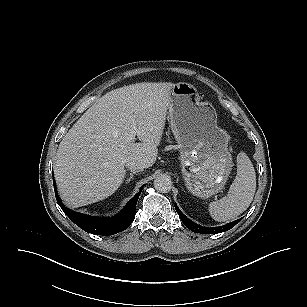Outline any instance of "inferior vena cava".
<instances>
[{
    "mask_svg": "<svg viewBox=\"0 0 307 307\" xmlns=\"http://www.w3.org/2000/svg\"><path fill=\"white\" fill-rule=\"evenodd\" d=\"M125 166L131 171H135V172L142 171L145 168V165L143 162L134 160V159L127 160L125 163Z\"/></svg>",
    "mask_w": 307,
    "mask_h": 307,
    "instance_id": "obj_1",
    "label": "inferior vena cava"
}]
</instances>
